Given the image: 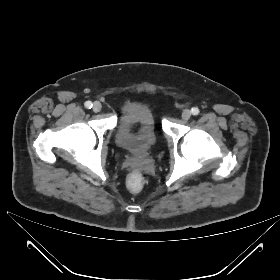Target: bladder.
I'll return each mask as SVG.
<instances>
[{"instance_id":"bladder-1","label":"bladder","mask_w":280,"mask_h":280,"mask_svg":"<svg viewBox=\"0 0 280 280\" xmlns=\"http://www.w3.org/2000/svg\"><path fill=\"white\" fill-rule=\"evenodd\" d=\"M155 118L151 109L142 103H132L119 115L115 142L135 158H144L156 144Z\"/></svg>"}]
</instances>
